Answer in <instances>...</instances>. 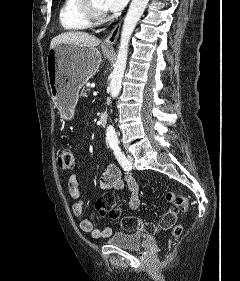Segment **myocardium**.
Segmentation results:
<instances>
[{
	"instance_id": "obj_1",
	"label": "myocardium",
	"mask_w": 240,
	"mask_h": 281,
	"mask_svg": "<svg viewBox=\"0 0 240 281\" xmlns=\"http://www.w3.org/2000/svg\"><path fill=\"white\" fill-rule=\"evenodd\" d=\"M81 12L91 25H99L108 19L104 8L95 4L94 0H81Z\"/></svg>"
}]
</instances>
